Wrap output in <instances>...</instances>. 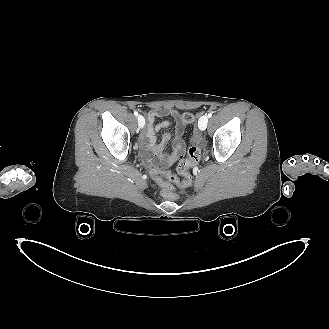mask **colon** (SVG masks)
<instances>
[{"label":"colon","mask_w":329,"mask_h":329,"mask_svg":"<svg viewBox=\"0 0 329 329\" xmlns=\"http://www.w3.org/2000/svg\"><path fill=\"white\" fill-rule=\"evenodd\" d=\"M181 118L185 124H192L195 121L194 114L190 112H184ZM200 157V148L195 145H191L187 150V158L180 161L176 167L177 174L171 173L169 170L164 168H155L152 170L151 175L153 180L159 182L163 188L161 193L163 199L171 200L173 202L179 200L180 195L176 190H174V185L172 182L182 187L189 185L192 181L190 169L198 163Z\"/></svg>","instance_id":"colon-1"}]
</instances>
